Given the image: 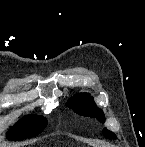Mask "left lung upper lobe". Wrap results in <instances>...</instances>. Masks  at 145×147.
I'll list each match as a JSON object with an SVG mask.
<instances>
[{
  "label": "left lung upper lobe",
  "instance_id": "1",
  "mask_svg": "<svg viewBox=\"0 0 145 147\" xmlns=\"http://www.w3.org/2000/svg\"><path fill=\"white\" fill-rule=\"evenodd\" d=\"M66 105L69 108H72L79 115L96 117L102 123L105 121L103 111L96 107V104L93 102V98L89 94L85 93L77 95L70 99ZM103 133L109 139H116V136L107 129H104Z\"/></svg>",
  "mask_w": 145,
  "mask_h": 147
}]
</instances>
